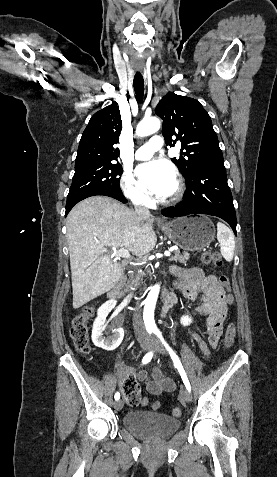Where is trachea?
<instances>
[{
    "label": "trachea",
    "mask_w": 277,
    "mask_h": 477,
    "mask_svg": "<svg viewBox=\"0 0 277 477\" xmlns=\"http://www.w3.org/2000/svg\"><path fill=\"white\" fill-rule=\"evenodd\" d=\"M133 84L137 98L142 101L144 94V79L140 72L135 73Z\"/></svg>",
    "instance_id": "1"
}]
</instances>
